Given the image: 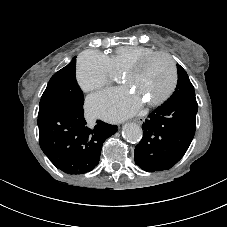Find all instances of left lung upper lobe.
<instances>
[{"label":"left lung upper lobe","mask_w":227,"mask_h":227,"mask_svg":"<svg viewBox=\"0 0 227 227\" xmlns=\"http://www.w3.org/2000/svg\"><path fill=\"white\" fill-rule=\"evenodd\" d=\"M177 68H178V83L175 92H173L169 100L173 99L196 100L194 87L190 82L186 71L180 65H178Z\"/></svg>","instance_id":"obj_1"}]
</instances>
